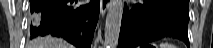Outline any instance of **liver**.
I'll list each match as a JSON object with an SVG mask.
<instances>
[{
    "label": "liver",
    "instance_id": "liver-1",
    "mask_svg": "<svg viewBox=\"0 0 213 48\" xmlns=\"http://www.w3.org/2000/svg\"><path fill=\"white\" fill-rule=\"evenodd\" d=\"M28 48H74L62 39H56L51 36L39 37L28 44Z\"/></svg>",
    "mask_w": 213,
    "mask_h": 48
}]
</instances>
